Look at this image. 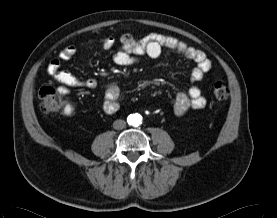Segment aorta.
<instances>
[{"instance_id":"1","label":"aorta","mask_w":277,"mask_h":218,"mask_svg":"<svg viewBox=\"0 0 277 218\" xmlns=\"http://www.w3.org/2000/svg\"><path fill=\"white\" fill-rule=\"evenodd\" d=\"M141 116L140 115H138V114H134V115H132V120H131V123L133 124V125H138L140 122H141Z\"/></svg>"}]
</instances>
